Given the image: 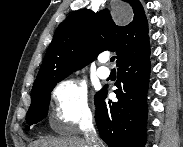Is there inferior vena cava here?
Returning <instances> with one entry per match:
<instances>
[{"label": "inferior vena cava", "mask_w": 183, "mask_h": 147, "mask_svg": "<svg viewBox=\"0 0 183 147\" xmlns=\"http://www.w3.org/2000/svg\"><path fill=\"white\" fill-rule=\"evenodd\" d=\"M85 139L88 147H102V141L98 138L96 130L93 126H90L85 133Z\"/></svg>", "instance_id": "1"}]
</instances>
